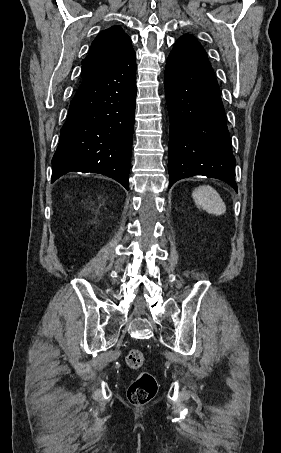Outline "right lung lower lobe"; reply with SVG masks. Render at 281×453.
<instances>
[{
  "instance_id": "98d812e1",
  "label": "right lung lower lobe",
  "mask_w": 281,
  "mask_h": 453,
  "mask_svg": "<svg viewBox=\"0 0 281 453\" xmlns=\"http://www.w3.org/2000/svg\"><path fill=\"white\" fill-rule=\"evenodd\" d=\"M136 105L133 52L105 73L84 78L52 159V182L71 172L109 176L129 189Z\"/></svg>"
}]
</instances>
